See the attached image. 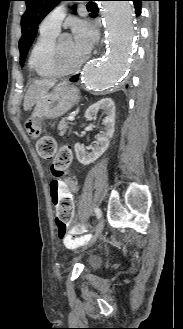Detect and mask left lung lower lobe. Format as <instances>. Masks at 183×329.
I'll list each match as a JSON object with an SVG mask.
<instances>
[{"label": "left lung lower lobe", "mask_w": 183, "mask_h": 329, "mask_svg": "<svg viewBox=\"0 0 183 329\" xmlns=\"http://www.w3.org/2000/svg\"><path fill=\"white\" fill-rule=\"evenodd\" d=\"M130 1H133V3H134L136 14L140 15V13H141V1H144V0H130ZM92 17H95V15L92 14ZM70 80L72 82H76L78 80V75L73 76Z\"/></svg>", "instance_id": "1"}]
</instances>
